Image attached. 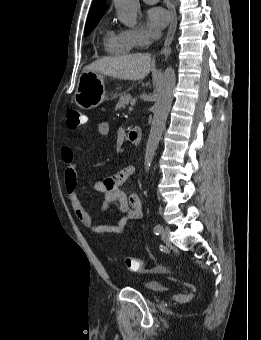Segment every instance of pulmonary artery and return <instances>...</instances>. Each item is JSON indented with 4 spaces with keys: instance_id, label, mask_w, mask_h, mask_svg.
Wrapping results in <instances>:
<instances>
[{
    "instance_id": "e3ab8cb5",
    "label": "pulmonary artery",
    "mask_w": 261,
    "mask_h": 340,
    "mask_svg": "<svg viewBox=\"0 0 261 340\" xmlns=\"http://www.w3.org/2000/svg\"><path fill=\"white\" fill-rule=\"evenodd\" d=\"M158 0H144V2L148 3V4H154L156 3Z\"/></svg>"
}]
</instances>
